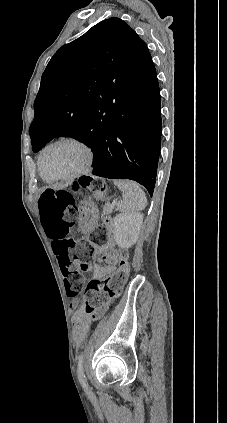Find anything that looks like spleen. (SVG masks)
I'll return each mask as SVG.
<instances>
[{
  "label": "spleen",
  "instance_id": "1",
  "mask_svg": "<svg viewBox=\"0 0 227 423\" xmlns=\"http://www.w3.org/2000/svg\"><path fill=\"white\" fill-rule=\"evenodd\" d=\"M114 184L123 192L122 200L117 204L119 211L137 213V211L145 210L147 200L139 184L130 180H114Z\"/></svg>",
  "mask_w": 227,
  "mask_h": 423
}]
</instances>
